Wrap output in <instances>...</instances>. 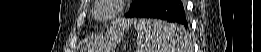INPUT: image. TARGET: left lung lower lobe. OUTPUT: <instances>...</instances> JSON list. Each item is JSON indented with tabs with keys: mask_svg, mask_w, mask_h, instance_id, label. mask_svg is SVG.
<instances>
[{
	"mask_svg": "<svg viewBox=\"0 0 261 52\" xmlns=\"http://www.w3.org/2000/svg\"><path fill=\"white\" fill-rule=\"evenodd\" d=\"M135 17H150L173 22L177 27H188L183 4L178 0H153L142 9ZM172 33H168L170 37Z\"/></svg>",
	"mask_w": 261,
	"mask_h": 52,
	"instance_id": "0a47b994",
	"label": "left lung lower lobe"
}]
</instances>
